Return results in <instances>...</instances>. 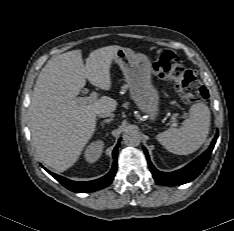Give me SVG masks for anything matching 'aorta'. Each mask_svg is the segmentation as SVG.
<instances>
[{
    "instance_id": "aorta-1",
    "label": "aorta",
    "mask_w": 234,
    "mask_h": 231,
    "mask_svg": "<svg viewBox=\"0 0 234 231\" xmlns=\"http://www.w3.org/2000/svg\"><path fill=\"white\" fill-rule=\"evenodd\" d=\"M123 142L127 146L136 147L141 142V134L138 130L129 128L123 135Z\"/></svg>"
}]
</instances>
